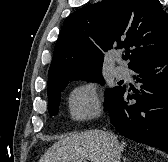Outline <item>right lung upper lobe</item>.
<instances>
[{
	"instance_id": "right-lung-upper-lobe-1",
	"label": "right lung upper lobe",
	"mask_w": 168,
	"mask_h": 162,
	"mask_svg": "<svg viewBox=\"0 0 168 162\" xmlns=\"http://www.w3.org/2000/svg\"><path fill=\"white\" fill-rule=\"evenodd\" d=\"M132 47L130 69L168 50V14L158 0H104L87 5L63 23L48 85L102 71L103 52Z\"/></svg>"
}]
</instances>
